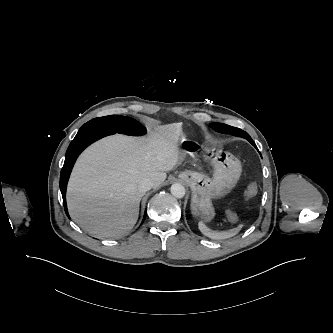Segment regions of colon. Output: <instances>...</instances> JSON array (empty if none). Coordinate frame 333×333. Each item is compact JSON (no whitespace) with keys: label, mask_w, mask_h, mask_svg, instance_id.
<instances>
[{"label":"colon","mask_w":333,"mask_h":333,"mask_svg":"<svg viewBox=\"0 0 333 333\" xmlns=\"http://www.w3.org/2000/svg\"><path fill=\"white\" fill-rule=\"evenodd\" d=\"M257 191H258V185L255 182H252L247 186L244 192V197L246 199H250L256 195ZM227 218L230 222L234 223L238 220V215L234 211H229L227 213Z\"/></svg>","instance_id":"obj_1"}]
</instances>
